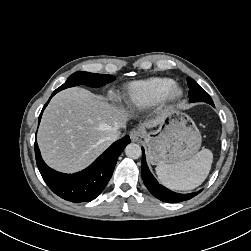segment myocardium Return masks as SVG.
I'll return each mask as SVG.
<instances>
[{
  "mask_svg": "<svg viewBox=\"0 0 251 251\" xmlns=\"http://www.w3.org/2000/svg\"><path fill=\"white\" fill-rule=\"evenodd\" d=\"M183 94L182 87L177 83H173L164 92L161 102L164 104H175L181 100Z\"/></svg>",
  "mask_w": 251,
  "mask_h": 251,
  "instance_id": "1",
  "label": "myocardium"
}]
</instances>
